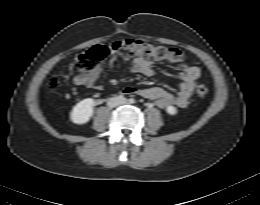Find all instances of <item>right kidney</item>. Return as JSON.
<instances>
[{
	"label": "right kidney",
	"instance_id": "right-kidney-1",
	"mask_svg": "<svg viewBox=\"0 0 260 205\" xmlns=\"http://www.w3.org/2000/svg\"><path fill=\"white\" fill-rule=\"evenodd\" d=\"M94 100L92 98H86L77 103L71 113L70 120L78 125L87 123L94 113Z\"/></svg>",
	"mask_w": 260,
	"mask_h": 205
}]
</instances>
